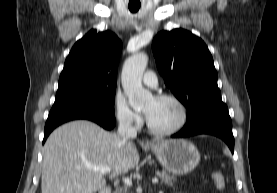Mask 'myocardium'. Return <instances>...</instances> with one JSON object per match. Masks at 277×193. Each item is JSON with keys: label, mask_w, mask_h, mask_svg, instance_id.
Masks as SVG:
<instances>
[{"label": "myocardium", "mask_w": 277, "mask_h": 193, "mask_svg": "<svg viewBox=\"0 0 277 193\" xmlns=\"http://www.w3.org/2000/svg\"><path fill=\"white\" fill-rule=\"evenodd\" d=\"M154 98L156 100H170V101L174 102L180 109L181 118H180V121L178 122V124L176 126H174L173 128L161 130V129H157V128L153 127L146 116L145 122H146V127H147L148 131L153 135L165 137V136L174 135V134L178 133L181 129H183L188 121V109H187L186 105L184 104V102L179 97H177L176 95L171 94V93L157 94L154 96Z\"/></svg>", "instance_id": "1"}]
</instances>
